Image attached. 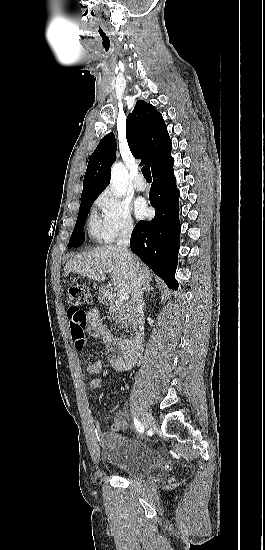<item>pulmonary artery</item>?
<instances>
[{
	"label": "pulmonary artery",
	"instance_id": "1",
	"mask_svg": "<svg viewBox=\"0 0 265 550\" xmlns=\"http://www.w3.org/2000/svg\"><path fill=\"white\" fill-rule=\"evenodd\" d=\"M146 188H147V183H146L145 180L139 179L135 182V189L137 191L142 192V191L146 190Z\"/></svg>",
	"mask_w": 265,
	"mask_h": 550
}]
</instances>
